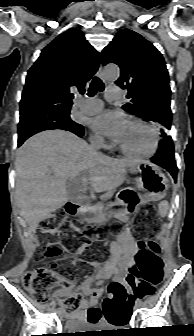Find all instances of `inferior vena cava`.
<instances>
[{"label":"inferior vena cava","mask_w":194,"mask_h":336,"mask_svg":"<svg viewBox=\"0 0 194 336\" xmlns=\"http://www.w3.org/2000/svg\"><path fill=\"white\" fill-rule=\"evenodd\" d=\"M91 147L98 150L100 148V144H99V142H95V143L91 144Z\"/></svg>","instance_id":"obj_1"}]
</instances>
